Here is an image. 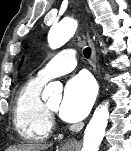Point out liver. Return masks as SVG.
<instances>
[{
	"label": "liver",
	"instance_id": "liver-1",
	"mask_svg": "<svg viewBox=\"0 0 131 151\" xmlns=\"http://www.w3.org/2000/svg\"><path fill=\"white\" fill-rule=\"evenodd\" d=\"M51 144H22L17 146H12L7 149V151H44L49 148Z\"/></svg>",
	"mask_w": 131,
	"mask_h": 151
}]
</instances>
